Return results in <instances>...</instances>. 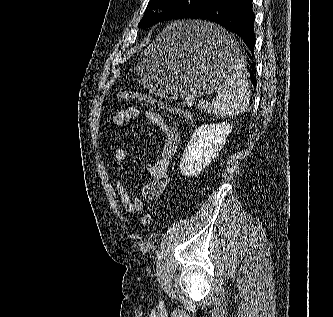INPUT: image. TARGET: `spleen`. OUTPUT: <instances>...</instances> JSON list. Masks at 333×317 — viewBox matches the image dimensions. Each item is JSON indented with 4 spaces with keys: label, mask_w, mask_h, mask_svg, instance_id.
<instances>
[{
    "label": "spleen",
    "mask_w": 333,
    "mask_h": 317,
    "mask_svg": "<svg viewBox=\"0 0 333 317\" xmlns=\"http://www.w3.org/2000/svg\"><path fill=\"white\" fill-rule=\"evenodd\" d=\"M214 28L217 30L216 42L227 51L230 61L210 110L218 117L243 114L250 101L244 58L239 54L238 44L233 36L217 25Z\"/></svg>",
    "instance_id": "obj_1"
}]
</instances>
